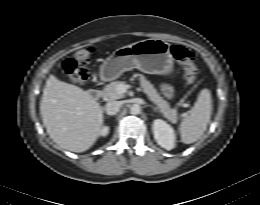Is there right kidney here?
<instances>
[{"label": "right kidney", "mask_w": 260, "mask_h": 205, "mask_svg": "<svg viewBox=\"0 0 260 205\" xmlns=\"http://www.w3.org/2000/svg\"><path fill=\"white\" fill-rule=\"evenodd\" d=\"M109 133V127L108 126H104L102 127V129L100 130V135L101 136H107Z\"/></svg>", "instance_id": "right-kidney-1"}]
</instances>
